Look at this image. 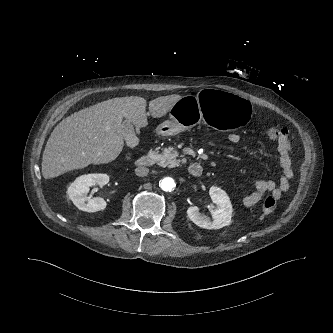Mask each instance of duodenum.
<instances>
[{
  "instance_id": "1",
  "label": "duodenum",
  "mask_w": 333,
  "mask_h": 333,
  "mask_svg": "<svg viewBox=\"0 0 333 333\" xmlns=\"http://www.w3.org/2000/svg\"><path fill=\"white\" fill-rule=\"evenodd\" d=\"M154 162L155 158L153 155L143 156L137 160V167L138 169H144L152 166ZM188 171L191 176L200 177L203 173V167L199 162H193L189 165Z\"/></svg>"
}]
</instances>
